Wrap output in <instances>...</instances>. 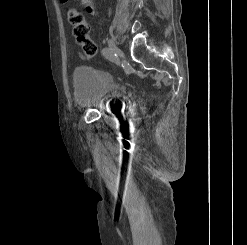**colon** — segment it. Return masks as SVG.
Masks as SVG:
<instances>
[{
    "label": "colon",
    "instance_id": "1",
    "mask_svg": "<svg viewBox=\"0 0 247 245\" xmlns=\"http://www.w3.org/2000/svg\"><path fill=\"white\" fill-rule=\"evenodd\" d=\"M65 3L68 0H60ZM67 17L70 24L73 26V34L79 45H81L83 51L90 57L96 53V45L89 37V26L85 21L83 14L75 9L70 8L67 11Z\"/></svg>",
    "mask_w": 247,
    "mask_h": 245
}]
</instances>
